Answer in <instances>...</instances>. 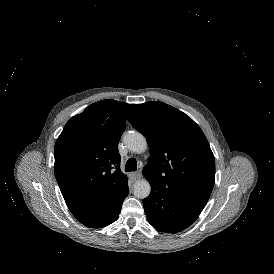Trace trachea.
<instances>
[{
	"label": "trachea",
	"instance_id": "obj_1",
	"mask_svg": "<svg viewBox=\"0 0 274 274\" xmlns=\"http://www.w3.org/2000/svg\"><path fill=\"white\" fill-rule=\"evenodd\" d=\"M137 169V161L135 158H129L125 165L126 172L136 171Z\"/></svg>",
	"mask_w": 274,
	"mask_h": 274
}]
</instances>
